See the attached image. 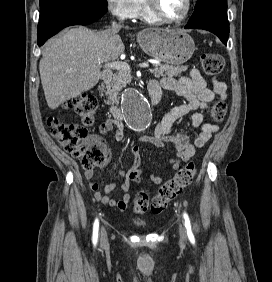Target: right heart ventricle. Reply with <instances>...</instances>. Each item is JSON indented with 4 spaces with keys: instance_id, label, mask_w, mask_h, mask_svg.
Returning <instances> with one entry per match:
<instances>
[{
    "instance_id": "right-heart-ventricle-1",
    "label": "right heart ventricle",
    "mask_w": 272,
    "mask_h": 282,
    "mask_svg": "<svg viewBox=\"0 0 272 282\" xmlns=\"http://www.w3.org/2000/svg\"><path fill=\"white\" fill-rule=\"evenodd\" d=\"M139 16H140L141 19H143L147 23H156V22H158V20L155 17H153L152 15H150L147 12V10H146V8L144 6L142 7V10H141Z\"/></svg>"
}]
</instances>
